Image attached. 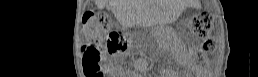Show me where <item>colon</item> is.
Returning a JSON list of instances; mask_svg holds the SVG:
<instances>
[{"instance_id": "5ec220e1", "label": "colon", "mask_w": 258, "mask_h": 77, "mask_svg": "<svg viewBox=\"0 0 258 77\" xmlns=\"http://www.w3.org/2000/svg\"><path fill=\"white\" fill-rule=\"evenodd\" d=\"M190 27L196 36L202 39L203 51L212 53L215 41L210 37L212 30V16L202 12L192 17ZM86 43L84 51V71L87 77H101L102 51L106 48L110 53H120L130 46L129 36L121 31L112 30L110 17L105 13L88 12L82 28Z\"/></svg>"}]
</instances>
